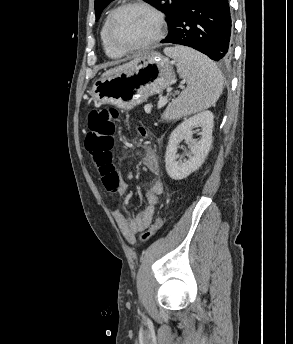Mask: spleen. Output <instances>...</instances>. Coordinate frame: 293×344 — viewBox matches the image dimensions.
Instances as JSON below:
<instances>
[{
    "mask_svg": "<svg viewBox=\"0 0 293 344\" xmlns=\"http://www.w3.org/2000/svg\"><path fill=\"white\" fill-rule=\"evenodd\" d=\"M164 53L175 60L187 88L168 105L163 119L177 120L216 103L223 91V76L213 61L183 46L165 48Z\"/></svg>",
    "mask_w": 293,
    "mask_h": 344,
    "instance_id": "3e777b00",
    "label": "spleen"
}]
</instances>
